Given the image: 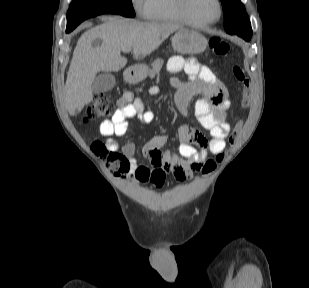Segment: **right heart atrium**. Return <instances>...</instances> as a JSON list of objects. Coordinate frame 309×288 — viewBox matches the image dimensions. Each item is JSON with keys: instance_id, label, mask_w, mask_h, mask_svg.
<instances>
[{"instance_id": "right-heart-atrium-1", "label": "right heart atrium", "mask_w": 309, "mask_h": 288, "mask_svg": "<svg viewBox=\"0 0 309 288\" xmlns=\"http://www.w3.org/2000/svg\"><path fill=\"white\" fill-rule=\"evenodd\" d=\"M146 1L147 0H131V4L139 14L143 15Z\"/></svg>"}]
</instances>
